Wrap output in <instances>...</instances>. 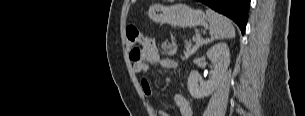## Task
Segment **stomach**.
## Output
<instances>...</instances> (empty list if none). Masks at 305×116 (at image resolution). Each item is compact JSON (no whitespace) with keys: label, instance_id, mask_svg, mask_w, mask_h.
I'll use <instances>...</instances> for the list:
<instances>
[{"label":"stomach","instance_id":"stomach-1","mask_svg":"<svg viewBox=\"0 0 305 116\" xmlns=\"http://www.w3.org/2000/svg\"><path fill=\"white\" fill-rule=\"evenodd\" d=\"M148 16L156 23H168L178 27H195L205 22L202 12L181 3L172 6L154 4L149 8Z\"/></svg>","mask_w":305,"mask_h":116}]
</instances>
